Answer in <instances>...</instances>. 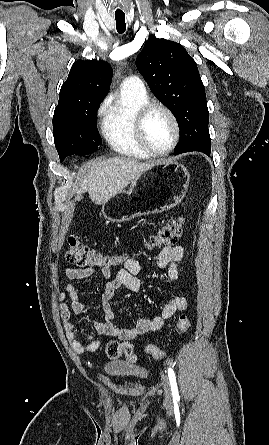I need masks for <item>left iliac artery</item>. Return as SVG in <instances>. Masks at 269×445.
<instances>
[{"label":"left iliac artery","instance_id":"left-iliac-artery-1","mask_svg":"<svg viewBox=\"0 0 269 445\" xmlns=\"http://www.w3.org/2000/svg\"><path fill=\"white\" fill-rule=\"evenodd\" d=\"M168 377L171 385L172 395L174 399L179 398V392L176 382V376L172 368H168Z\"/></svg>","mask_w":269,"mask_h":445}]
</instances>
